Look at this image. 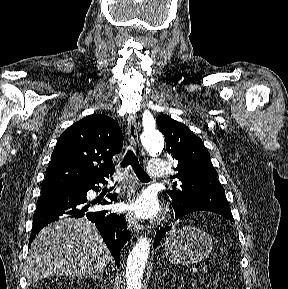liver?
Here are the masks:
<instances>
[{
    "instance_id": "6515ba94",
    "label": "liver",
    "mask_w": 288,
    "mask_h": 289,
    "mask_svg": "<svg viewBox=\"0 0 288 289\" xmlns=\"http://www.w3.org/2000/svg\"><path fill=\"white\" fill-rule=\"evenodd\" d=\"M112 256L95 225L86 218H64L49 224L34 238L27 258L26 277L93 276Z\"/></svg>"
}]
</instances>
